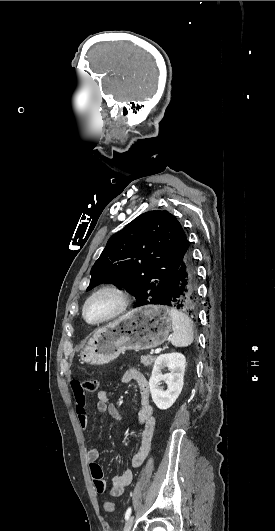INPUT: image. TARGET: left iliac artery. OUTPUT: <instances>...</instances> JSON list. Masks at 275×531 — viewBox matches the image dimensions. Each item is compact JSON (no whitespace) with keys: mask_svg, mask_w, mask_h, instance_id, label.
Returning <instances> with one entry per match:
<instances>
[{"mask_svg":"<svg viewBox=\"0 0 275 531\" xmlns=\"http://www.w3.org/2000/svg\"><path fill=\"white\" fill-rule=\"evenodd\" d=\"M131 515V507H129L125 513V519L128 520Z\"/></svg>","mask_w":275,"mask_h":531,"instance_id":"left-iliac-artery-1","label":"left iliac artery"}]
</instances>
